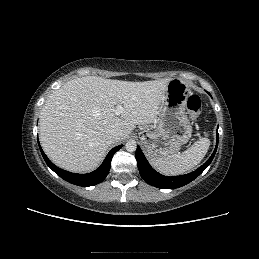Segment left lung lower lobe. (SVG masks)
Returning <instances> with one entry per match:
<instances>
[{
    "instance_id": "left-lung-lower-lobe-1",
    "label": "left lung lower lobe",
    "mask_w": 259,
    "mask_h": 259,
    "mask_svg": "<svg viewBox=\"0 0 259 259\" xmlns=\"http://www.w3.org/2000/svg\"><path fill=\"white\" fill-rule=\"evenodd\" d=\"M218 139L219 137H218V129H217V143H216L215 150L211 155V157L201 167H199L197 170L189 174L174 176V177L164 176L156 172L150 166L144 154L142 153L140 147L138 146L135 153V157L137 160L140 175L145 182L157 188L175 189L178 187H182L188 184L189 182L193 181L195 178H197L210 165L218 147Z\"/></svg>"
}]
</instances>
